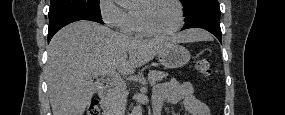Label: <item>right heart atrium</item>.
<instances>
[{"label":"right heart atrium","mask_w":285,"mask_h":115,"mask_svg":"<svg viewBox=\"0 0 285 115\" xmlns=\"http://www.w3.org/2000/svg\"><path fill=\"white\" fill-rule=\"evenodd\" d=\"M100 12L105 23L116 29L130 32V15L115 0H102Z\"/></svg>","instance_id":"obj_1"}]
</instances>
